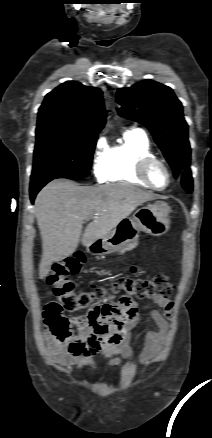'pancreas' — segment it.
<instances>
[{"label":"pancreas","instance_id":"obj_1","mask_svg":"<svg viewBox=\"0 0 212 438\" xmlns=\"http://www.w3.org/2000/svg\"><path fill=\"white\" fill-rule=\"evenodd\" d=\"M137 246V242H134L132 244H128L124 249L121 250V253H124L126 251H131Z\"/></svg>","mask_w":212,"mask_h":438}]
</instances>
